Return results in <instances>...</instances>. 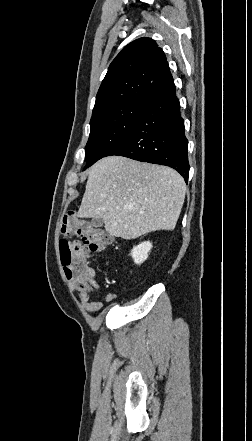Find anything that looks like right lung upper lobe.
Segmentation results:
<instances>
[{
  "mask_svg": "<svg viewBox=\"0 0 252 441\" xmlns=\"http://www.w3.org/2000/svg\"><path fill=\"white\" fill-rule=\"evenodd\" d=\"M173 80L164 52L150 38L137 39L116 56L96 96L93 114L150 93Z\"/></svg>",
  "mask_w": 252,
  "mask_h": 441,
  "instance_id": "1",
  "label": "right lung upper lobe"
}]
</instances>
